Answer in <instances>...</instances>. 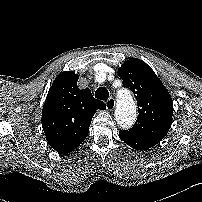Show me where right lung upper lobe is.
<instances>
[{
  "instance_id": "obj_1",
  "label": "right lung upper lobe",
  "mask_w": 202,
  "mask_h": 202,
  "mask_svg": "<svg viewBox=\"0 0 202 202\" xmlns=\"http://www.w3.org/2000/svg\"><path fill=\"white\" fill-rule=\"evenodd\" d=\"M79 76L72 71L60 73L54 80L42 110V127L49 145L60 154L77 148L88 136L97 109H106L93 98L89 88L80 90Z\"/></svg>"
}]
</instances>
